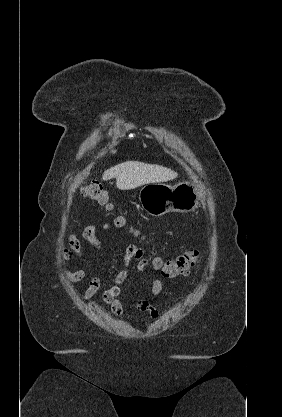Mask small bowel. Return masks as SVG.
<instances>
[{
	"instance_id": "obj_1",
	"label": "small bowel",
	"mask_w": 282,
	"mask_h": 417,
	"mask_svg": "<svg viewBox=\"0 0 282 417\" xmlns=\"http://www.w3.org/2000/svg\"><path fill=\"white\" fill-rule=\"evenodd\" d=\"M100 227L103 229H108L109 224H89L82 231V238L96 249L100 248V240L97 236V231ZM69 243L77 256L83 258L80 240L76 234L72 233L69 235ZM133 260L137 261V269L142 273L147 272L148 269L154 265V263L143 256V252L140 248L136 246H130L126 250L121 260L122 268L116 276L114 284L104 292L103 296L105 302L111 307L113 314L116 316H119L123 313L124 307L120 299L121 284L128 278L131 262ZM63 275L70 282L77 283L85 279L87 275V268L84 266L77 270H64ZM100 286V278L98 276L92 277L89 281L88 287L82 294V299H91L98 292ZM162 290V281L159 278L153 279L151 283L150 294L152 296H158L161 294ZM134 307L139 311L148 313L151 321L158 319L160 315L159 310L147 300H138L134 304Z\"/></svg>"
}]
</instances>
